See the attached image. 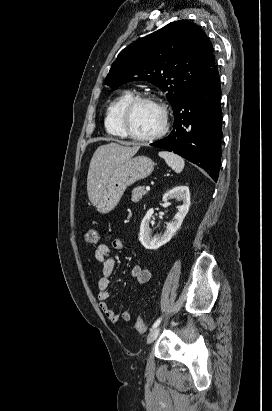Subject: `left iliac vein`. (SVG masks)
Listing matches in <instances>:
<instances>
[{"mask_svg":"<svg viewBox=\"0 0 272 411\" xmlns=\"http://www.w3.org/2000/svg\"><path fill=\"white\" fill-rule=\"evenodd\" d=\"M161 331V326H157L156 328L152 329L147 336V343H152L159 335Z\"/></svg>","mask_w":272,"mask_h":411,"instance_id":"left-iliac-vein-1","label":"left iliac vein"}]
</instances>
